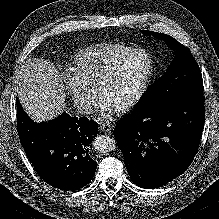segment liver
I'll list each match as a JSON object with an SVG mask.
<instances>
[{
	"label": "liver",
	"instance_id": "obj_1",
	"mask_svg": "<svg viewBox=\"0 0 219 219\" xmlns=\"http://www.w3.org/2000/svg\"><path fill=\"white\" fill-rule=\"evenodd\" d=\"M19 101L36 122L51 121L65 107L64 87L55 67L48 61L29 58L15 79Z\"/></svg>",
	"mask_w": 219,
	"mask_h": 219
}]
</instances>
